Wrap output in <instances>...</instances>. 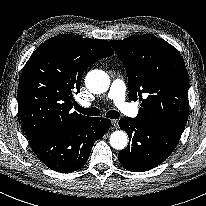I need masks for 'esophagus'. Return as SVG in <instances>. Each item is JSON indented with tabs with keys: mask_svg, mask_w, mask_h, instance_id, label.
<instances>
[{
	"mask_svg": "<svg viewBox=\"0 0 206 206\" xmlns=\"http://www.w3.org/2000/svg\"><path fill=\"white\" fill-rule=\"evenodd\" d=\"M112 125L117 128L118 127V121L117 120H112Z\"/></svg>",
	"mask_w": 206,
	"mask_h": 206,
	"instance_id": "34e87169",
	"label": "esophagus"
}]
</instances>
